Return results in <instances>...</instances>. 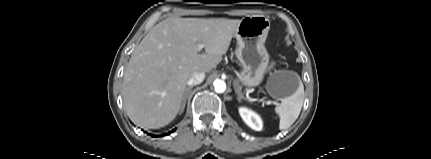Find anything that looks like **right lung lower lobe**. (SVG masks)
Listing matches in <instances>:
<instances>
[{"label": "right lung lower lobe", "instance_id": "98d812e1", "mask_svg": "<svg viewBox=\"0 0 431 159\" xmlns=\"http://www.w3.org/2000/svg\"><path fill=\"white\" fill-rule=\"evenodd\" d=\"M174 131V130H173ZM173 131H171V132H169V133H172ZM153 137H155V135H152Z\"/></svg>", "mask_w": 431, "mask_h": 159}]
</instances>
